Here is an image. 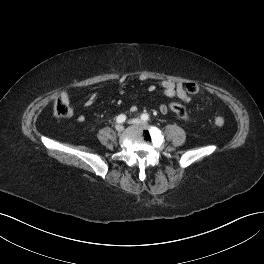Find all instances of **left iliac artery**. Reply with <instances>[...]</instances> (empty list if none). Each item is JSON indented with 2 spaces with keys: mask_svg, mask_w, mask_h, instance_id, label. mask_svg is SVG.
I'll list each match as a JSON object with an SVG mask.
<instances>
[{
  "mask_svg": "<svg viewBox=\"0 0 264 264\" xmlns=\"http://www.w3.org/2000/svg\"><path fill=\"white\" fill-rule=\"evenodd\" d=\"M141 119L144 120V121H147L149 119V115L144 113L141 115Z\"/></svg>",
  "mask_w": 264,
  "mask_h": 264,
  "instance_id": "obj_1",
  "label": "left iliac artery"
}]
</instances>
